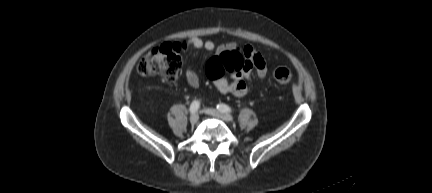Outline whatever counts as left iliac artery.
I'll list each match as a JSON object with an SVG mask.
<instances>
[{
  "label": "left iliac artery",
  "mask_w": 432,
  "mask_h": 193,
  "mask_svg": "<svg viewBox=\"0 0 432 193\" xmlns=\"http://www.w3.org/2000/svg\"><path fill=\"white\" fill-rule=\"evenodd\" d=\"M217 109L222 111V112H231L232 111V109L228 105L223 104V103L218 104Z\"/></svg>",
  "instance_id": "44dca946"
}]
</instances>
